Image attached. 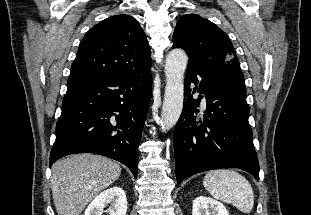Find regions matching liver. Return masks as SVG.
Instances as JSON below:
<instances>
[{
    "label": "liver",
    "mask_w": 311,
    "mask_h": 215,
    "mask_svg": "<svg viewBox=\"0 0 311 215\" xmlns=\"http://www.w3.org/2000/svg\"><path fill=\"white\" fill-rule=\"evenodd\" d=\"M121 174L116 162L94 154H77L52 166L51 188L58 215H80Z\"/></svg>",
    "instance_id": "6515ba94"
}]
</instances>
